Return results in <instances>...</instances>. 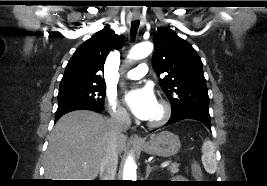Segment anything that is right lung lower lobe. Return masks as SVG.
Segmentation results:
<instances>
[{
  "mask_svg": "<svg viewBox=\"0 0 267 186\" xmlns=\"http://www.w3.org/2000/svg\"><path fill=\"white\" fill-rule=\"evenodd\" d=\"M103 109V105L76 102V103H67L58 106V109L55 114V122L64 114L75 111V110H92L100 113Z\"/></svg>",
  "mask_w": 267,
  "mask_h": 186,
  "instance_id": "98d812e1",
  "label": "right lung lower lobe"
}]
</instances>
